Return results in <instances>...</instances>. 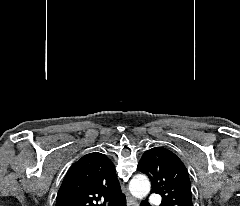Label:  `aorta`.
<instances>
[{"label":"aorta","instance_id":"1","mask_svg":"<svg viewBox=\"0 0 240 206\" xmlns=\"http://www.w3.org/2000/svg\"><path fill=\"white\" fill-rule=\"evenodd\" d=\"M150 181L145 175H135L130 183L129 190L131 194L137 199H143L150 191Z\"/></svg>","mask_w":240,"mask_h":206}]
</instances>
